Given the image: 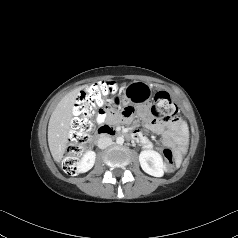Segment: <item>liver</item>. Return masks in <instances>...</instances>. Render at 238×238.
<instances>
[{
    "mask_svg": "<svg viewBox=\"0 0 238 238\" xmlns=\"http://www.w3.org/2000/svg\"><path fill=\"white\" fill-rule=\"evenodd\" d=\"M82 89L83 87H79L66 94L51 114L48 124V145L56 162H60L65 153L71 129L73 106Z\"/></svg>",
    "mask_w": 238,
    "mask_h": 238,
    "instance_id": "6515ba94",
    "label": "liver"
}]
</instances>
